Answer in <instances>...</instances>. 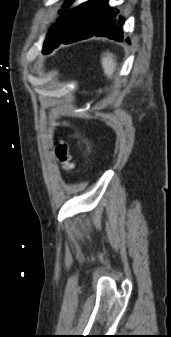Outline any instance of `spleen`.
<instances>
[{
	"mask_svg": "<svg viewBox=\"0 0 171 337\" xmlns=\"http://www.w3.org/2000/svg\"><path fill=\"white\" fill-rule=\"evenodd\" d=\"M101 64H102L105 75L108 78H111L117 66L115 56L109 52L105 53L102 56Z\"/></svg>",
	"mask_w": 171,
	"mask_h": 337,
	"instance_id": "obj_1",
	"label": "spleen"
}]
</instances>
